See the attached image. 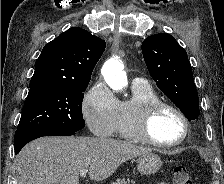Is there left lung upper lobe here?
I'll list each match as a JSON object with an SVG mask.
<instances>
[{"label":"left lung upper lobe","instance_id":"1","mask_svg":"<svg viewBox=\"0 0 224 184\" xmlns=\"http://www.w3.org/2000/svg\"><path fill=\"white\" fill-rule=\"evenodd\" d=\"M142 53L153 79L161 91L188 120L199 116V98L186 51L167 33L147 37Z\"/></svg>","mask_w":224,"mask_h":184}]
</instances>
